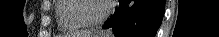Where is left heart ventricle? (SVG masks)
<instances>
[{"mask_svg":"<svg viewBox=\"0 0 219 37\" xmlns=\"http://www.w3.org/2000/svg\"><path fill=\"white\" fill-rule=\"evenodd\" d=\"M104 1H87L83 4V14L87 19L95 20L104 11Z\"/></svg>","mask_w":219,"mask_h":37,"instance_id":"obj_1","label":"left heart ventricle"}]
</instances>
